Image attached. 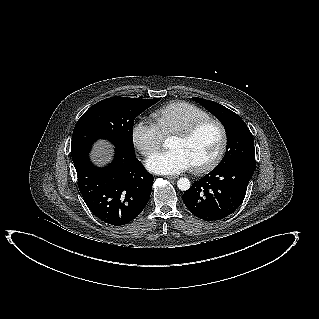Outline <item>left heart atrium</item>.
I'll list each match as a JSON object with an SVG mask.
<instances>
[{"mask_svg":"<svg viewBox=\"0 0 319 319\" xmlns=\"http://www.w3.org/2000/svg\"><path fill=\"white\" fill-rule=\"evenodd\" d=\"M146 167L157 174H176L191 167L187 156L178 149H170L151 155L146 161Z\"/></svg>","mask_w":319,"mask_h":319,"instance_id":"left-heart-atrium-1","label":"left heart atrium"}]
</instances>
